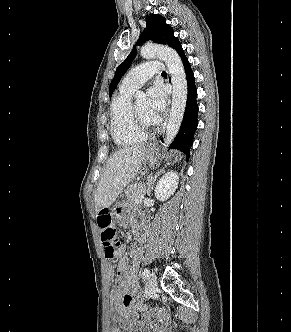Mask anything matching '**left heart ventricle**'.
Returning a JSON list of instances; mask_svg holds the SVG:
<instances>
[{"label":"left heart ventricle","mask_w":291,"mask_h":332,"mask_svg":"<svg viewBox=\"0 0 291 332\" xmlns=\"http://www.w3.org/2000/svg\"><path fill=\"white\" fill-rule=\"evenodd\" d=\"M135 106L137 108V111H138L139 116L141 117L142 121L148 126H153L154 123L152 122V120L149 116L147 101L141 100V101L135 103Z\"/></svg>","instance_id":"obj_1"}]
</instances>
